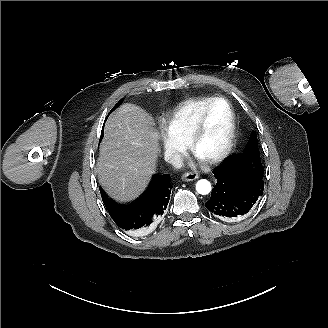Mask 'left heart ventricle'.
<instances>
[{
	"instance_id": "obj_1",
	"label": "left heart ventricle",
	"mask_w": 328,
	"mask_h": 328,
	"mask_svg": "<svg viewBox=\"0 0 328 328\" xmlns=\"http://www.w3.org/2000/svg\"><path fill=\"white\" fill-rule=\"evenodd\" d=\"M229 128V108L225 103H217L208 113L205 130L197 144V155L206 158L218 153L227 141Z\"/></svg>"
}]
</instances>
